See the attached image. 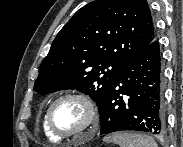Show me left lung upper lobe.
Returning a JSON list of instances; mask_svg holds the SVG:
<instances>
[{
    "mask_svg": "<svg viewBox=\"0 0 183 147\" xmlns=\"http://www.w3.org/2000/svg\"><path fill=\"white\" fill-rule=\"evenodd\" d=\"M155 38L146 0H95L57 34L34 90L45 95L76 89L100 109L122 68Z\"/></svg>",
    "mask_w": 183,
    "mask_h": 147,
    "instance_id": "obj_1",
    "label": "left lung upper lobe"
}]
</instances>
